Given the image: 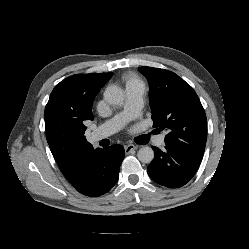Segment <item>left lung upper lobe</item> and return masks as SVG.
I'll return each mask as SVG.
<instances>
[{"label": "left lung upper lobe", "mask_w": 249, "mask_h": 249, "mask_svg": "<svg viewBox=\"0 0 249 249\" xmlns=\"http://www.w3.org/2000/svg\"><path fill=\"white\" fill-rule=\"evenodd\" d=\"M138 70L149 82L153 127L168 130L165 144L202 159L207 120L196 92L171 71L152 67Z\"/></svg>", "instance_id": "5c2ea615"}]
</instances>
